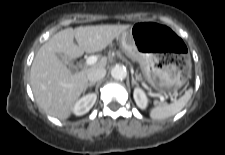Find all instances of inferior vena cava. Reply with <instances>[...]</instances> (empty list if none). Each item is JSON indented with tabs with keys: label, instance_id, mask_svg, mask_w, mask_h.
Masks as SVG:
<instances>
[{
	"label": "inferior vena cava",
	"instance_id": "602c4592",
	"mask_svg": "<svg viewBox=\"0 0 225 155\" xmlns=\"http://www.w3.org/2000/svg\"><path fill=\"white\" fill-rule=\"evenodd\" d=\"M105 75L106 69L104 67H94L89 71L87 79L89 80L90 83H95L103 79Z\"/></svg>",
	"mask_w": 225,
	"mask_h": 155
}]
</instances>
